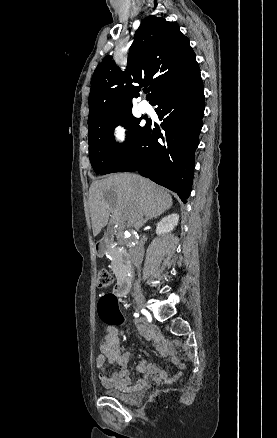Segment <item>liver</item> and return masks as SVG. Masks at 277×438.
Returning <instances> with one entry per match:
<instances>
[{
    "mask_svg": "<svg viewBox=\"0 0 277 438\" xmlns=\"http://www.w3.org/2000/svg\"><path fill=\"white\" fill-rule=\"evenodd\" d=\"M93 236L107 226L110 212L126 228H141L173 206L172 196L137 174H114L95 180L89 190Z\"/></svg>",
    "mask_w": 277,
    "mask_h": 438,
    "instance_id": "1",
    "label": "liver"
}]
</instances>
